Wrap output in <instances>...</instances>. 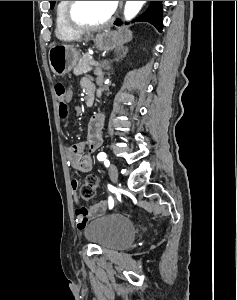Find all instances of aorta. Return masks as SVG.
I'll list each match as a JSON object with an SVG mask.
<instances>
[{"mask_svg": "<svg viewBox=\"0 0 237 300\" xmlns=\"http://www.w3.org/2000/svg\"><path fill=\"white\" fill-rule=\"evenodd\" d=\"M145 1H126L124 7V17L126 21H131L136 15H138L140 9H142Z\"/></svg>", "mask_w": 237, "mask_h": 300, "instance_id": "1", "label": "aorta"}]
</instances>
